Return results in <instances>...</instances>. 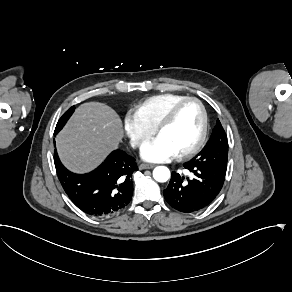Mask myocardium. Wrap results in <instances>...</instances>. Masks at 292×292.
<instances>
[{"label":"myocardium","instance_id":"myocardium-1","mask_svg":"<svg viewBox=\"0 0 292 292\" xmlns=\"http://www.w3.org/2000/svg\"><path fill=\"white\" fill-rule=\"evenodd\" d=\"M187 102H194L198 105L200 109V114H201V125H200L199 135L195 143L192 146L188 147L187 149L181 151L179 153L180 156H188V155L196 153L202 147L204 143L206 133H207V113H206L203 103L198 98H195V97L182 98L176 101L175 103H173L164 112V114L160 117L157 125L155 126V132L159 134V132L174 119L178 109Z\"/></svg>","mask_w":292,"mask_h":292}]
</instances>
